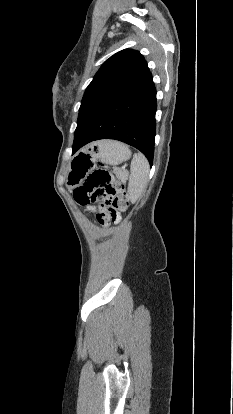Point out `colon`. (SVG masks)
I'll return each mask as SVG.
<instances>
[{"label":"colon","mask_w":233,"mask_h":414,"mask_svg":"<svg viewBox=\"0 0 233 414\" xmlns=\"http://www.w3.org/2000/svg\"><path fill=\"white\" fill-rule=\"evenodd\" d=\"M74 196L81 205L96 203L100 209L97 218L103 225L114 222L129 206L125 184L114 180L104 167L93 171Z\"/></svg>","instance_id":"5ec220e1"}]
</instances>
